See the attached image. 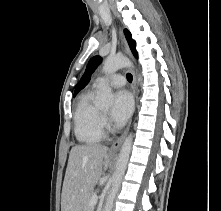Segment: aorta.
Wrapping results in <instances>:
<instances>
[{"instance_id": "aorta-1", "label": "aorta", "mask_w": 221, "mask_h": 211, "mask_svg": "<svg viewBox=\"0 0 221 211\" xmlns=\"http://www.w3.org/2000/svg\"><path fill=\"white\" fill-rule=\"evenodd\" d=\"M132 67V63L123 56H115V57H108L105 59L103 64V72L107 75H110L116 72L118 69ZM138 81H141V77L138 78ZM114 102V95L109 85L103 86L98 94L97 98V106L100 108H108ZM133 135L130 133L122 147L116 162L115 172L112 176L111 182V189L110 193L107 197L106 204L103 211H112L113 202L116 196V193L119 190L121 185L122 178L125 174V170L127 168L131 147H132Z\"/></svg>"}]
</instances>
